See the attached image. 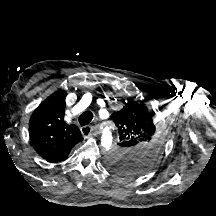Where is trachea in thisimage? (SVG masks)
<instances>
[{
  "mask_svg": "<svg viewBox=\"0 0 216 216\" xmlns=\"http://www.w3.org/2000/svg\"><path fill=\"white\" fill-rule=\"evenodd\" d=\"M93 119V113L90 111H86L83 112L80 116H79V123L81 125H88Z\"/></svg>",
  "mask_w": 216,
  "mask_h": 216,
  "instance_id": "trachea-1",
  "label": "trachea"
}]
</instances>
